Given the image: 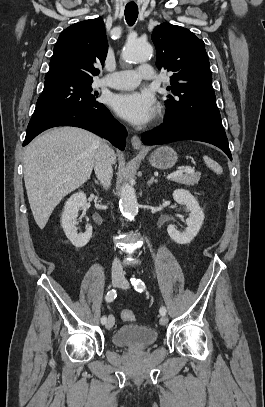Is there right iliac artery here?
<instances>
[{
	"instance_id": "1",
	"label": "right iliac artery",
	"mask_w": 265,
	"mask_h": 407,
	"mask_svg": "<svg viewBox=\"0 0 265 407\" xmlns=\"http://www.w3.org/2000/svg\"><path fill=\"white\" fill-rule=\"evenodd\" d=\"M116 296H117L116 290H115V289H112V290H110V291L107 292V295H106V297H105V300H106L107 302H112V301L116 298ZM106 321H107V318H106L105 316H103V317L101 318V323H102V324H105Z\"/></svg>"
}]
</instances>
